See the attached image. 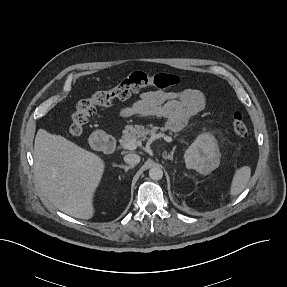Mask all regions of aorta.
Returning a JSON list of instances; mask_svg holds the SVG:
<instances>
[{"label": "aorta", "instance_id": "aorta-1", "mask_svg": "<svg viewBox=\"0 0 287 287\" xmlns=\"http://www.w3.org/2000/svg\"><path fill=\"white\" fill-rule=\"evenodd\" d=\"M149 177L152 179V180H160L162 179L163 177V171L161 168L159 167H152L150 170H149Z\"/></svg>", "mask_w": 287, "mask_h": 287}]
</instances>
